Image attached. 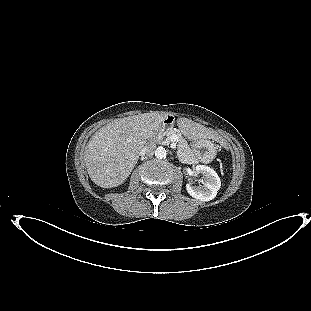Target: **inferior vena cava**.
Returning <instances> with one entry per match:
<instances>
[{"label": "inferior vena cava", "instance_id": "1", "mask_svg": "<svg viewBox=\"0 0 311 311\" xmlns=\"http://www.w3.org/2000/svg\"><path fill=\"white\" fill-rule=\"evenodd\" d=\"M155 145L153 143H148L142 148L143 155H151L154 152Z\"/></svg>", "mask_w": 311, "mask_h": 311}]
</instances>
